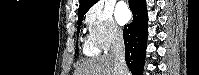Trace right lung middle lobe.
Segmentation results:
<instances>
[{
  "instance_id": "right-lung-middle-lobe-1",
  "label": "right lung middle lobe",
  "mask_w": 199,
  "mask_h": 75,
  "mask_svg": "<svg viewBox=\"0 0 199 75\" xmlns=\"http://www.w3.org/2000/svg\"><path fill=\"white\" fill-rule=\"evenodd\" d=\"M83 19H84V16H79L78 17V28H77V32L78 33L80 31V25H81ZM76 53H78V45H76Z\"/></svg>"
}]
</instances>
